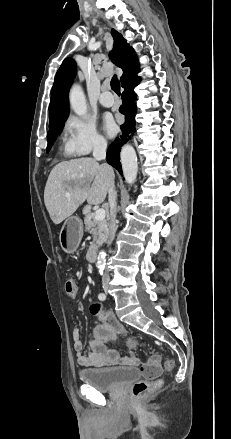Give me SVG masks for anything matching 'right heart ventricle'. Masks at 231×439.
Returning a JSON list of instances; mask_svg holds the SVG:
<instances>
[{
  "label": "right heart ventricle",
  "mask_w": 231,
  "mask_h": 439,
  "mask_svg": "<svg viewBox=\"0 0 231 439\" xmlns=\"http://www.w3.org/2000/svg\"><path fill=\"white\" fill-rule=\"evenodd\" d=\"M64 152H65L66 154H70L69 151H68V149H67V147H66V143H65V145H64Z\"/></svg>",
  "instance_id": "obj_1"
}]
</instances>
